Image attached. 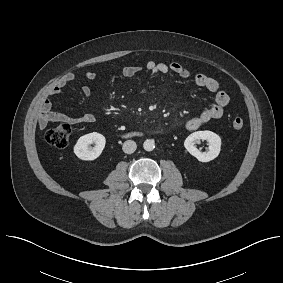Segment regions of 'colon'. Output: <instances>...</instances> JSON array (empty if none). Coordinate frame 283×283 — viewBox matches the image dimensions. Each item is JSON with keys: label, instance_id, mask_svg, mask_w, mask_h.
<instances>
[{"label": "colon", "instance_id": "5ec220e1", "mask_svg": "<svg viewBox=\"0 0 283 283\" xmlns=\"http://www.w3.org/2000/svg\"><path fill=\"white\" fill-rule=\"evenodd\" d=\"M244 124V120L241 117H235L232 119V127L235 130H241L244 127ZM71 132V126L63 123L49 129L46 132V140L50 145L56 148H64L69 143Z\"/></svg>", "mask_w": 283, "mask_h": 283}]
</instances>
